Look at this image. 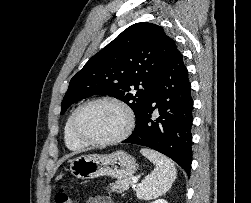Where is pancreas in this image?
<instances>
[{
	"label": "pancreas",
	"instance_id": "obj_1",
	"mask_svg": "<svg viewBox=\"0 0 251 203\" xmlns=\"http://www.w3.org/2000/svg\"><path fill=\"white\" fill-rule=\"evenodd\" d=\"M131 185H133L132 177L120 179V180H117L115 183L111 184V191L122 193L125 190H128Z\"/></svg>",
	"mask_w": 251,
	"mask_h": 203
}]
</instances>
